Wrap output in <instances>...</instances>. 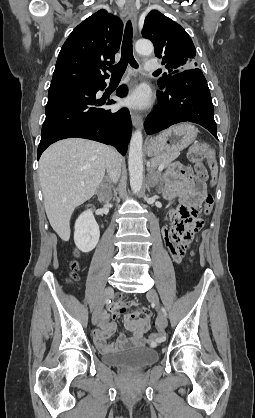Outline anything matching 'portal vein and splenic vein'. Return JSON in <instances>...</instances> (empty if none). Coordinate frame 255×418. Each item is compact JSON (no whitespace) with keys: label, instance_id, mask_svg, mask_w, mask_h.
Listing matches in <instances>:
<instances>
[{"label":"portal vein and splenic vein","instance_id":"portal-vein-and-splenic-vein-1","mask_svg":"<svg viewBox=\"0 0 255 418\" xmlns=\"http://www.w3.org/2000/svg\"><path fill=\"white\" fill-rule=\"evenodd\" d=\"M164 169V165H160L158 171H162Z\"/></svg>","mask_w":255,"mask_h":418}]
</instances>
